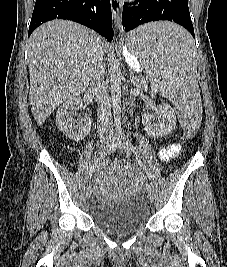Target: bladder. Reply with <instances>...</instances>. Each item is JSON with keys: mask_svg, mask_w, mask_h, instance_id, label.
<instances>
[{"mask_svg": "<svg viewBox=\"0 0 227 267\" xmlns=\"http://www.w3.org/2000/svg\"><path fill=\"white\" fill-rule=\"evenodd\" d=\"M91 218L113 235H128L145 225L149 218L147 204L139 195L119 200H95Z\"/></svg>", "mask_w": 227, "mask_h": 267, "instance_id": "obj_1", "label": "bladder"}]
</instances>
